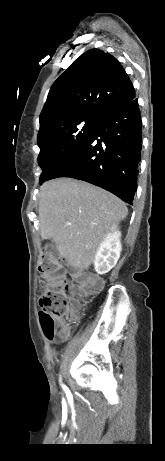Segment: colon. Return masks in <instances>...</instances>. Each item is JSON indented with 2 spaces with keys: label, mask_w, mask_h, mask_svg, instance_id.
<instances>
[{
  "label": "colon",
  "mask_w": 165,
  "mask_h": 461,
  "mask_svg": "<svg viewBox=\"0 0 165 461\" xmlns=\"http://www.w3.org/2000/svg\"><path fill=\"white\" fill-rule=\"evenodd\" d=\"M39 271L44 281L39 318L45 337L50 341H58L65 336V330L68 329L59 326L58 318H62L63 313H70L72 304L65 298L67 291L70 290V283L65 268L52 250H46L41 255ZM99 287V283L91 279L81 282L85 294L95 292Z\"/></svg>",
  "instance_id": "1"
}]
</instances>
